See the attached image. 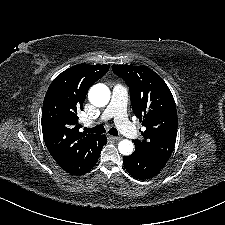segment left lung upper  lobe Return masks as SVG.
<instances>
[{
    "label": "left lung upper lobe",
    "instance_id": "left-lung-upper-lobe-1",
    "mask_svg": "<svg viewBox=\"0 0 225 225\" xmlns=\"http://www.w3.org/2000/svg\"><path fill=\"white\" fill-rule=\"evenodd\" d=\"M114 73L130 87L133 112L142 126L143 140H133L135 149L167 162L177 136L174 98L164 80L145 66L113 65Z\"/></svg>",
    "mask_w": 225,
    "mask_h": 225
}]
</instances>
